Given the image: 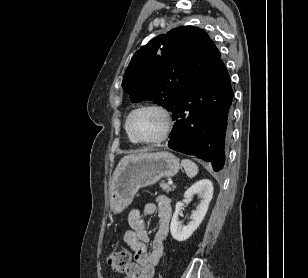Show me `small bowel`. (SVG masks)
I'll use <instances>...</instances> for the list:
<instances>
[{
  "label": "small bowel",
  "mask_w": 308,
  "mask_h": 278,
  "mask_svg": "<svg viewBox=\"0 0 308 278\" xmlns=\"http://www.w3.org/2000/svg\"><path fill=\"white\" fill-rule=\"evenodd\" d=\"M158 214V225L151 250L147 244L150 242L147 231L146 217ZM172 215L171 201L166 195H159L155 203H147L143 212L132 210L128 215L129 230L124 234V241L133 253V261L128 264L124 278H153L155 269L163 254V241L169 230Z\"/></svg>",
  "instance_id": "small-bowel-1"
}]
</instances>
